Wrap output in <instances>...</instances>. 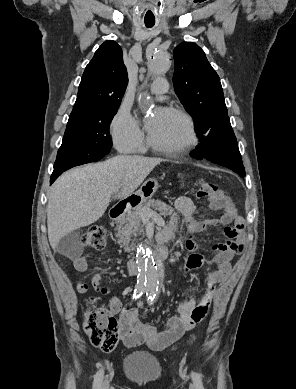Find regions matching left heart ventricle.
I'll use <instances>...</instances> for the list:
<instances>
[{
  "mask_svg": "<svg viewBox=\"0 0 296 389\" xmlns=\"http://www.w3.org/2000/svg\"><path fill=\"white\" fill-rule=\"evenodd\" d=\"M153 140L162 145H178L187 138L185 123L181 117L165 111L156 128L150 132Z\"/></svg>",
  "mask_w": 296,
  "mask_h": 389,
  "instance_id": "b2bd125f",
  "label": "left heart ventricle"
}]
</instances>
